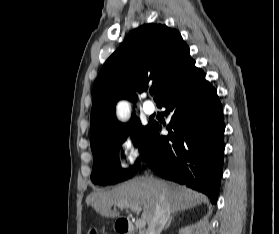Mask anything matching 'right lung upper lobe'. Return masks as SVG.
Returning <instances> with one entry per match:
<instances>
[{"mask_svg": "<svg viewBox=\"0 0 279 234\" xmlns=\"http://www.w3.org/2000/svg\"><path fill=\"white\" fill-rule=\"evenodd\" d=\"M194 63L189 47L176 29L150 23L132 30L97 77L91 111V145L124 125L115 115L119 99L135 102V91L141 93L153 86L158 104Z\"/></svg>", "mask_w": 279, "mask_h": 234, "instance_id": "cb5924a9", "label": "right lung upper lobe"}]
</instances>
